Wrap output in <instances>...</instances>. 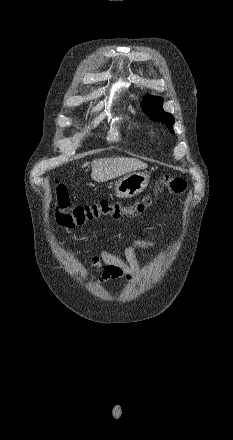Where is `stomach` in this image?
Returning <instances> with one entry per match:
<instances>
[{
  "label": "stomach",
  "mask_w": 233,
  "mask_h": 440,
  "mask_svg": "<svg viewBox=\"0 0 233 440\" xmlns=\"http://www.w3.org/2000/svg\"><path fill=\"white\" fill-rule=\"evenodd\" d=\"M149 184V176L142 172L130 173L115 182V193L119 198H131L141 193Z\"/></svg>",
  "instance_id": "obj_1"
}]
</instances>
